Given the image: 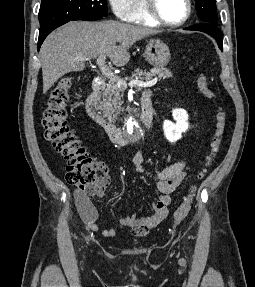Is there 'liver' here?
I'll use <instances>...</instances> for the list:
<instances>
[{
  "mask_svg": "<svg viewBox=\"0 0 255 287\" xmlns=\"http://www.w3.org/2000/svg\"><path fill=\"white\" fill-rule=\"evenodd\" d=\"M159 34L146 26H132L121 22H69L52 32L40 50L43 94L68 74L85 68L80 58L109 56L114 66H126L130 60L127 52L135 42ZM119 44V46H116Z\"/></svg>",
  "mask_w": 255,
  "mask_h": 287,
  "instance_id": "1",
  "label": "liver"
}]
</instances>
